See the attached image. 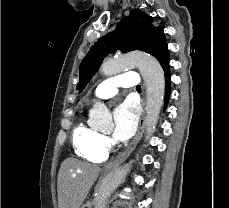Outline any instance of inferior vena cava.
Wrapping results in <instances>:
<instances>
[{"label":"inferior vena cava","instance_id":"inferior-vena-cava-1","mask_svg":"<svg viewBox=\"0 0 229 208\" xmlns=\"http://www.w3.org/2000/svg\"><path fill=\"white\" fill-rule=\"evenodd\" d=\"M146 126H147V124H146ZM149 130H150V128H149V126H147V132H149Z\"/></svg>","mask_w":229,"mask_h":208}]
</instances>
